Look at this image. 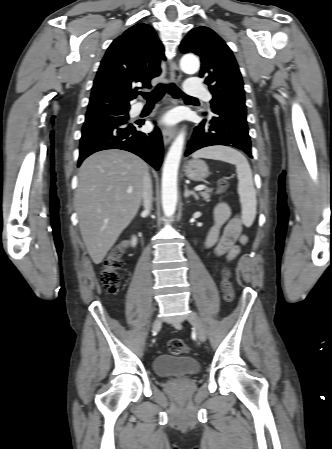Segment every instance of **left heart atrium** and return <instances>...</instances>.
<instances>
[{
	"mask_svg": "<svg viewBox=\"0 0 332 449\" xmlns=\"http://www.w3.org/2000/svg\"><path fill=\"white\" fill-rule=\"evenodd\" d=\"M178 118V115L175 113H169L163 117L162 123L165 125H173L178 121Z\"/></svg>",
	"mask_w": 332,
	"mask_h": 449,
	"instance_id": "1",
	"label": "left heart atrium"
}]
</instances>
